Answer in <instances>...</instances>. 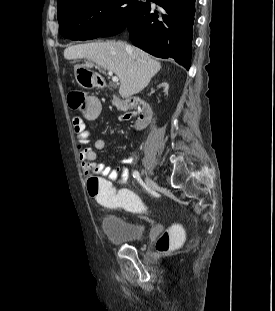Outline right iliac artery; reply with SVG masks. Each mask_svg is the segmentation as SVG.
Instances as JSON below:
<instances>
[{"label":"right iliac artery","instance_id":"1","mask_svg":"<svg viewBox=\"0 0 275 311\" xmlns=\"http://www.w3.org/2000/svg\"><path fill=\"white\" fill-rule=\"evenodd\" d=\"M133 177L135 178V179H137L138 181H140L142 184H143V182L141 181V179H140V174H139V172L138 171H134L133 172Z\"/></svg>","mask_w":275,"mask_h":311}]
</instances>
